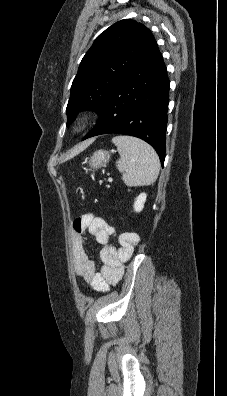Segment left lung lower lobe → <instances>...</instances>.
I'll list each match as a JSON object with an SVG mask.
<instances>
[{"instance_id":"0a47b994","label":"left lung lower lobe","mask_w":227,"mask_h":396,"mask_svg":"<svg viewBox=\"0 0 227 396\" xmlns=\"http://www.w3.org/2000/svg\"><path fill=\"white\" fill-rule=\"evenodd\" d=\"M169 80L156 46L109 95L96 126L83 140L102 134H125L149 143L165 159Z\"/></svg>"}]
</instances>
